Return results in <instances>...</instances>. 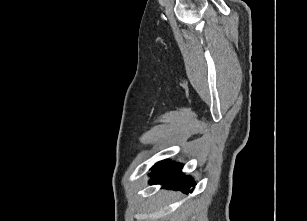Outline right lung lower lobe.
Instances as JSON below:
<instances>
[{"instance_id": "obj_1", "label": "right lung lower lobe", "mask_w": 307, "mask_h": 221, "mask_svg": "<svg viewBox=\"0 0 307 221\" xmlns=\"http://www.w3.org/2000/svg\"><path fill=\"white\" fill-rule=\"evenodd\" d=\"M183 167V164L175 163L170 160H163L158 163H156L152 167V172L150 174L151 184H163L166 186V188L171 189H180L184 193H188L190 190V187H194L195 182L194 180L189 177L185 176L181 169Z\"/></svg>"}]
</instances>
